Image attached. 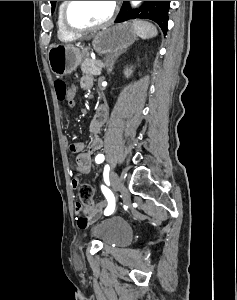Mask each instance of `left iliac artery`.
<instances>
[{
  "instance_id": "obj_1",
  "label": "left iliac artery",
  "mask_w": 237,
  "mask_h": 300,
  "mask_svg": "<svg viewBox=\"0 0 237 300\" xmlns=\"http://www.w3.org/2000/svg\"><path fill=\"white\" fill-rule=\"evenodd\" d=\"M104 159L105 158H104L103 154H98L95 158V161L97 164H100L104 161ZM109 170H110L109 165H106L104 168V172L109 174ZM101 189L108 201V206L104 211V214L106 216H108V215L112 214L115 209V198H114L113 194L111 193V191L106 186L101 185Z\"/></svg>"
}]
</instances>
